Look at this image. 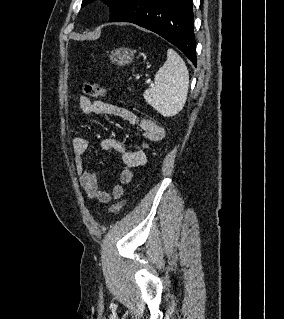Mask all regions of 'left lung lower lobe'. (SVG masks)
I'll use <instances>...</instances> for the list:
<instances>
[{
	"instance_id": "0a47b994",
	"label": "left lung lower lobe",
	"mask_w": 284,
	"mask_h": 319,
	"mask_svg": "<svg viewBox=\"0 0 284 319\" xmlns=\"http://www.w3.org/2000/svg\"><path fill=\"white\" fill-rule=\"evenodd\" d=\"M109 22H131L151 30L197 65L192 0H128Z\"/></svg>"
}]
</instances>
